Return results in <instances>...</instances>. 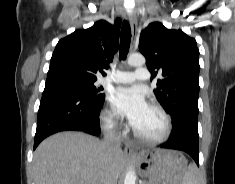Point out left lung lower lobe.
Masks as SVG:
<instances>
[{
  "label": "left lung lower lobe",
  "mask_w": 235,
  "mask_h": 184,
  "mask_svg": "<svg viewBox=\"0 0 235 184\" xmlns=\"http://www.w3.org/2000/svg\"><path fill=\"white\" fill-rule=\"evenodd\" d=\"M161 147L184 151L199 165L198 128L191 124L182 123L172 129L170 139Z\"/></svg>",
  "instance_id": "left-lung-lower-lobe-1"
}]
</instances>
